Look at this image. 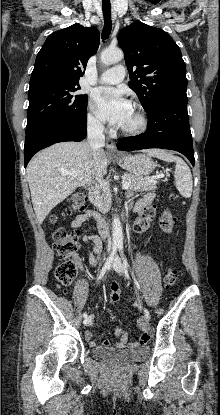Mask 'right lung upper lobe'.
I'll return each mask as SVG.
<instances>
[{
  "mask_svg": "<svg viewBox=\"0 0 220 415\" xmlns=\"http://www.w3.org/2000/svg\"><path fill=\"white\" fill-rule=\"evenodd\" d=\"M99 47L96 27L78 23L49 35L39 51L30 80L53 78L79 83L88 59Z\"/></svg>",
  "mask_w": 220,
  "mask_h": 415,
  "instance_id": "obj_1",
  "label": "right lung upper lobe"
}]
</instances>
